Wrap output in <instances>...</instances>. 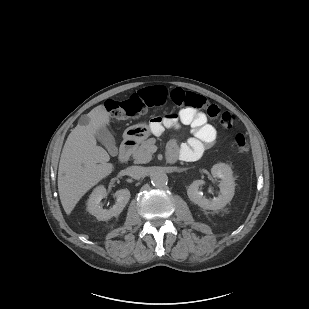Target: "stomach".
Wrapping results in <instances>:
<instances>
[{
  "mask_svg": "<svg viewBox=\"0 0 309 309\" xmlns=\"http://www.w3.org/2000/svg\"><path fill=\"white\" fill-rule=\"evenodd\" d=\"M151 134L149 127L146 124H136L128 127L123 134L124 139L141 142L148 138Z\"/></svg>",
  "mask_w": 309,
  "mask_h": 309,
  "instance_id": "obj_1",
  "label": "stomach"
}]
</instances>
